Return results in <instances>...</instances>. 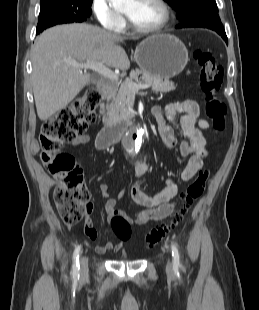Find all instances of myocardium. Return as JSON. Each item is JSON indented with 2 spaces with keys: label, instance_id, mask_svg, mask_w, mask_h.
<instances>
[{
  "label": "myocardium",
  "instance_id": "obj_1",
  "mask_svg": "<svg viewBox=\"0 0 259 310\" xmlns=\"http://www.w3.org/2000/svg\"><path fill=\"white\" fill-rule=\"evenodd\" d=\"M156 3H158L163 11V18L162 20L155 25L154 27L150 28H142L137 25H135L130 18L126 15L127 23L130 29H132L134 32L138 34H153L158 33L162 31L165 27L168 26L170 20H171V9L168 5V3L165 0H155Z\"/></svg>",
  "mask_w": 259,
  "mask_h": 310
}]
</instances>
